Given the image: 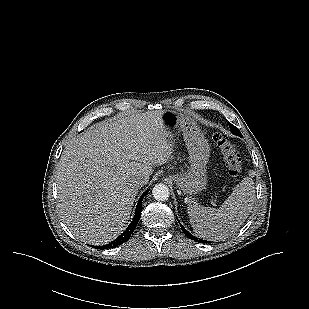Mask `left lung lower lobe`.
<instances>
[{
    "instance_id": "0a47b994",
    "label": "left lung lower lobe",
    "mask_w": 309,
    "mask_h": 309,
    "mask_svg": "<svg viewBox=\"0 0 309 309\" xmlns=\"http://www.w3.org/2000/svg\"><path fill=\"white\" fill-rule=\"evenodd\" d=\"M182 228V231L184 232V234L189 237L190 239L197 241V242H201V243H207L208 241L205 240H200L197 237L193 236L192 234H190L182 225H180Z\"/></svg>"
}]
</instances>
